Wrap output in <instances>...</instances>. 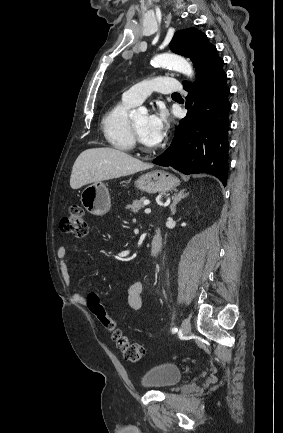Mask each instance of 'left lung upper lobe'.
I'll return each mask as SVG.
<instances>
[{
	"mask_svg": "<svg viewBox=\"0 0 283 433\" xmlns=\"http://www.w3.org/2000/svg\"><path fill=\"white\" fill-rule=\"evenodd\" d=\"M169 46L173 52L191 58L194 64L212 44L204 33L190 28L176 32Z\"/></svg>",
	"mask_w": 283,
	"mask_h": 433,
	"instance_id": "left-lung-upper-lobe-1",
	"label": "left lung upper lobe"
}]
</instances>
